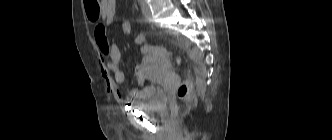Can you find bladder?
Listing matches in <instances>:
<instances>
[{
	"label": "bladder",
	"instance_id": "bladder-1",
	"mask_svg": "<svg viewBox=\"0 0 332 140\" xmlns=\"http://www.w3.org/2000/svg\"><path fill=\"white\" fill-rule=\"evenodd\" d=\"M149 93L142 98L133 99L132 105L142 110H157L165 102V95L156 86H148Z\"/></svg>",
	"mask_w": 332,
	"mask_h": 140
}]
</instances>
